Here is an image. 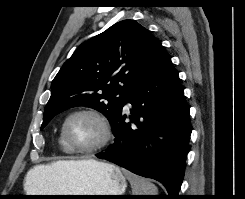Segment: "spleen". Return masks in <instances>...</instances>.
<instances>
[{"label":"spleen","instance_id":"spleen-1","mask_svg":"<svg viewBox=\"0 0 245 199\" xmlns=\"http://www.w3.org/2000/svg\"><path fill=\"white\" fill-rule=\"evenodd\" d=\"M129 180L133 195H158L157 187L148 179L137 176L127 170H123Z\"/></svg>","mask_w":245,"mask_h":199}]
</instances>
